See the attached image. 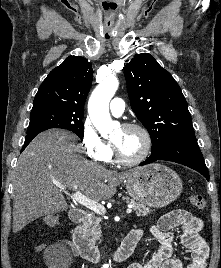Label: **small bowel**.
I'll return each instance as SVG.
<instances>
[{"label": "small bowel", "mask_w": 221, "mask_h": 268, "mask_svg": "<svg viewBox=\"0 0 221 268\" xmlns=\"http://www.w3.org/2000/svg\"><path fill=\"white\" fill-rule=\"evenodd\" d=\"M180 229V240L189 256L183 261L173 257L176 237L173 229ZM203 223L201 219L182 209L170 211L160 217L156 225L150 227L151 234L160 241L155 255L146 263H132L128 268H206L209 257V246L201 235ZM140 236L142 230L136 229ZM74 253V245L67 242ZM45 248L39 245L38 251Z\"/></svg>", "instance_id": "1"}]
</instances>
